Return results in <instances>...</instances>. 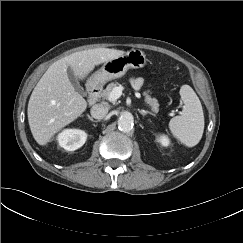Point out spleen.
I'll return each instance as SVG.
<instances>
[{
    "instance_id": "1",
    "label": "spleen",
    "mask_w": 243,
    "mask_h": 243,
    "mask_svg": "<svg viewBox=\"0 0 243 243\" xmlns=\"http://www.w3.org/2000/svg\"><path fill=\"white\" fill-rule=\"evenodd\" d=\"M183 109L169 122L171 134L187 147L197 145L204 131V114L201 102L189 85L180 88Z\"/></svg>"
}]
</instances>
